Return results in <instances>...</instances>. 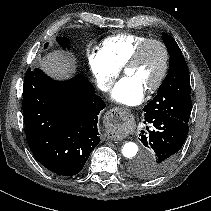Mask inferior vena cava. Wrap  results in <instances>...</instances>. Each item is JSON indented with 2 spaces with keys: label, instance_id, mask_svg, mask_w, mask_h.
I'll return each mask as SVG.
<instances>
[{
  "label": "inferior vena cava",
  "instance_id": "inferior-vena-cava-1",
  "mask_svg": "<svg viewBox=\"0 0 211 211\" xmlns=\"http://www.w3.org/2000/svg\"><path fill=\"white\" fill-rule=\"evenodd\" d=\"M98 88H100L101 90H105V89H108V85L107 84H99Z\"/></svg>",
  "mask_w": 211,
  "mask_h": 211
}]
</instances>
